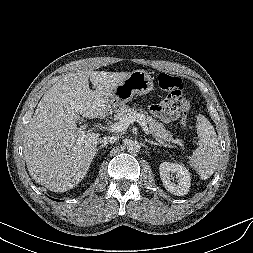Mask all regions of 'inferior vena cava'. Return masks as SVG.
<instances>
[{
	"mask_svg": "<svg viewBox=\"0 0 253 253\" xmlns=\"http://www.w3.org/2000/svg\"><path fill=\"white\" fill-rule=\"evenodd\" d=\"M117 136H106V137H103V138H99V142L102 144V145H106V144H109V143H114L117 141Z\"/></svg>",
	"mask_w": 253,
	"mask_h": 253,
	"instance_id": "602c4592",
	"label": "inferior vena cava"
}]
</instances>
